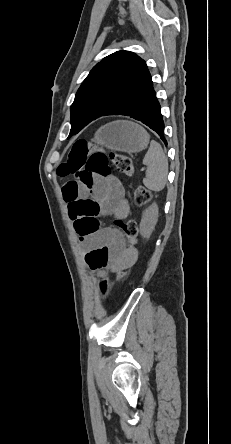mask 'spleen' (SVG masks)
<instances>
[{"label": "spleen", "instance_id": "obj_1", "mask_svg": "<svg viewBox=\"0 0 231 444\" xmlns=\"http://www.w3.org/2000/svg\"><path fill=\"white\" fill-rule=\"evenodd\" d=\"M143 164L147 166L143 184L155 192L164 189L168 175V160L162 146L158 142L151 141L150 147L143 159Z\"/></svg>", "mask_w": 231, "mask_h": 444}]
</instances>
